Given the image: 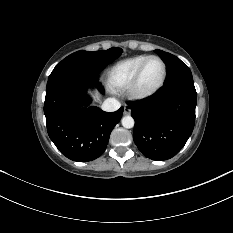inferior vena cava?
<instances>
[{"mask_svg":"<svg viewBox=\"0 0 233 233\" xmlns=\"http://www.w3.org/2000/svg\"><path fill=\"white\" fill-rule=\"evenodd\" d=\"M120 107H121L120 102L115 98L106 99L101 106L102 110L106 112H114L118 110Z\"/></svg>","mask_w":233,"mask_h":233,"instance_id":"inferior-vena-cava-1","label":"inferior vena cava"}]
</instances>
